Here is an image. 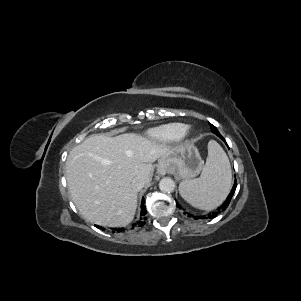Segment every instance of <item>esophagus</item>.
I'll return each instance as SVG.
<instances>
[{
    "instance_id": "obj_1",
    "label": "esophagus",
    "mask_w": 301,
    "mask_h": 301,
    "mask_svg": "<svg viewBox=\"0 0 301 301\" xmlns=\"http://www.w3.org/2000/svg\"><path fill=\"white\" fill-rule=\"evenodd\" d=\"M159 172H160L161 174H165V169L162 168V169L159 170Z\"/></svg>"
}]
</instances>
